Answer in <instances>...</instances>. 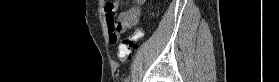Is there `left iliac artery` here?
<instances>
[{"mask_svg": "<svg viewBox=\"0 0 279 82\" xmlns=\"http://www.w3.org/2000/svg\"><path fill=\"white\" fill-rule=\"evenodd\" d=\"M124 82H129V77H127V78L124 80Z\"/></svg>", "mask_w": 279, "mask_h": 82, "instance_id": "44dca946", "label": "left iliac artery"}]
</instances>
